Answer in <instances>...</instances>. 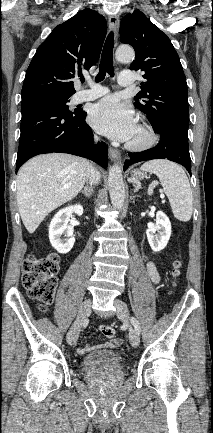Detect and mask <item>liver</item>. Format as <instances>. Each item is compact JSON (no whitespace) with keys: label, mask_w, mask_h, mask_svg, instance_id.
I'll use <instances>...</instances> for the list:
<instances>
[{"label":"liver","mask_w":213,"mask_h":433,"mask_svg":"<svg viewBox=\"0 0 213 433\" xmlns=\"http://www.w3.org/2000/svg\"><path fill=\"white\" fill-rule=\"evenodd\" d=\"M89 161L50 153L27 161L17 175V204L27 231L34 233L54 209L72 200L83 188Z\"/></svg>","instance_id":"6515ba94"}]
</instances>
